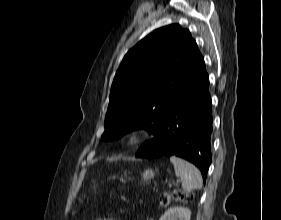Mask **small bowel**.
<instances>
[{
	"mask_svg": "<svg viewBox=\"0 0 281 220\" xmlns=\"http://www.w3.org/2000/svg\"><path fill=\"white\" fill-rule=\"evenodd\" d=\"M98 220H110V219H98Z\"/></svg>",
	"mask_w": 281,
	"mask_h": 220,
	"instance_id": "c3829d8e",
	"label": "small bowel"
}]
</instances>
